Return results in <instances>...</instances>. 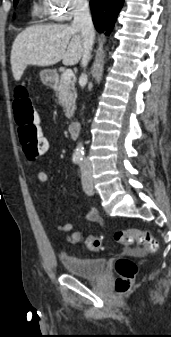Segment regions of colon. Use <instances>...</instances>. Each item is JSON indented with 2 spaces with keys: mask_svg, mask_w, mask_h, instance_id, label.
Listing matches in <instances>:
<instances>
[{
  "mask_svg": "<svg viewBox=\"0 0 171 337\" xmlns=\"http://www.w3.org/2000/svg\"><path fill=\"white\" fill-rule=\"evenodd\" d=\"M13 108L20 144L26 159L34 162L40 156H44L45 151H53V144H48V137H45L42 127L38 124V117L26 89L20 88L16 91ZM68 240L74 244L83 243L84 247L91 251L102 248L101 239L94 236L84 237L79 231L72 232ZM114 241L136 253L155 252L158 249V242L152 233L139 229L117 231L114 233ZM115 270L117 292H128L137 272L136 264L129 258H120L115 264Z\"/></svg>",
  "mask_w": 171,
  "mask_h": 337,
  "instance_id": "colon-1",
  "label": "colon"
}]
</instances>
